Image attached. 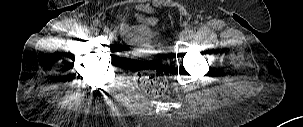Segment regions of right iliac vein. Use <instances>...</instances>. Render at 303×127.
<instances>
[{
    "instance_id": "1",
    "label": "right iliac vein",
    "mask_w": 303,
    "mask_h": 127,
    "mask_svg": "<svg viewBox=\"0 0 303 127\" xmlns=\"http://www.w3.org/2000/svg\"><path fill=\"white\" fill-rule=\"evenodd\" d=\"M100 27H102V28H103L104 32H107V33H108L109 29H108L106 26H104V25L100 24Z\"/></svg>"
}]
</instances>
